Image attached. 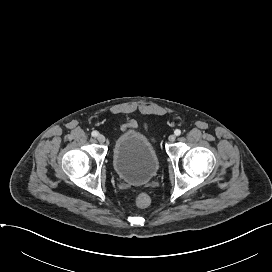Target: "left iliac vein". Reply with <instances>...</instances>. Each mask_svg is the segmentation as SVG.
I'll return each instance as SVG.
<instances>
[{"mask_svg": "<svg viewBox=\"0 0 272 272\" xmlns=\"http://www.w3.org/2000/svg\"><path fill=\"white\" fill-rule=\"evenodd\" d=\"M168 139H169L170 142H174L175 139H176V136L172 134V135L169 136Z\"/></svg>", "mask_w": 272, "mask_h": 272, "instance_id": "obj_1", "label": "left iliac vein"}]
</instances>
